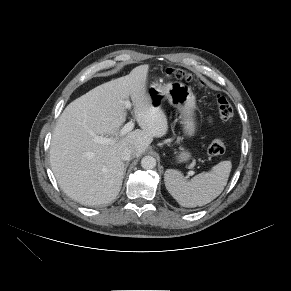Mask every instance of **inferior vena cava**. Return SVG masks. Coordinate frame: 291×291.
<instances>
[{
	"instance_id": "obj_1",
	"label": "inferior vena cava",
	"mask_w": 291,
	"mask_h": 291,
	"mask_svg": "<svg viewBox=\"0 0 291 291\" xmlns=\"http://www.w3.org/2000/svg\"><path fill=\"white\" fill-rule=\"evenodd\" d=\"M135 157V151L132 149H125L121 154V159L124 161H129Z\"/></svg>"
}]
</instances>
